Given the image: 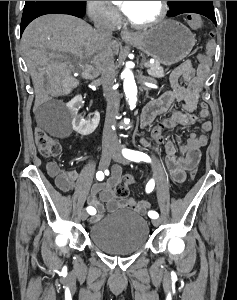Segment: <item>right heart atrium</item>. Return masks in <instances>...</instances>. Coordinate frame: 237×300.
I'll use <instances>...</instances> for the list:
<instances>
[{
  "instance_id": "1",
  "label": "right heart atrium",
  "mask_w": 237,
  "mask_h": 300,
  "mask_svg": "<svg viewBox=\"0 0 237 300\" xmlns=\"http://www.w3.org/2000/svg\"><path fill=\"white\" fill-rule=\"evenodd\" d=\"M86 10L90 20L96 25L114 27L119 23L118 12L105 1H87Z\"/></svg>"
}]
</instances>
